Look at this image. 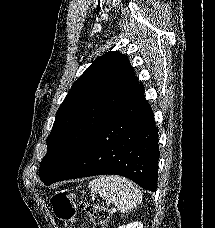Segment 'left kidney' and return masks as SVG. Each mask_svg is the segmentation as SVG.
I'll list each match as a JSON object with an SVG mask.
<instances>
[{"instance_id":"left-kidney-1","label":"left kidney","mask_w":215,"mask_h":228,"mask_svg":"<svg viewBox=\"0 0 215 228\" xmlns=\"http://www.w3.org/2000/svg\"><path fill=\"white\" fill-rule=\"evenodd\" d=\"M120 228H143L142 222H132V224H127V226H120Z\"/></svg>"}]
</instances>
